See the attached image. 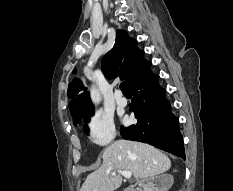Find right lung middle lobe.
<instances>
[{"label": "right lung middle lobe", "instance_id": "dd1d6c3e", "mask_svg": "<svg viewBox=\"0 0 233 191\" xmlns=\"http://www.w3.org/2000/svg\"><path fill=\"white\" fill-rule=\"evenodd\" d=\"M91 115H93V110H87V111L81 112L75 116H72L74 125H76L77 123H80L82 121V118H84L85 122H89ZM85 131L88 132L87 126H85Z\"/></svg>", "mask_w": 233, "mask_h": 191}]
</instances>
